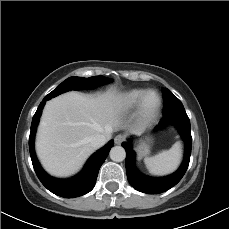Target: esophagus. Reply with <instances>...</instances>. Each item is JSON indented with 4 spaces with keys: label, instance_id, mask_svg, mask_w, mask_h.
<instances>
[{
    "label": "esophagus",
    "instance_id": "esophagus-1",
    "mask_svg": "<svg viewBox=\"0 0 229 229\" xmlns=\"http://www.w3.org/2000/svg\"><path fill=\"white\" fill-rule=\"evenodd\" d=\"M126 137L124 135H117L114 139L115 143L120 145L122 142H124Z\"/></svg>",
    "mask_w": 229,
    "mask_h": 229
}]
</instances>
